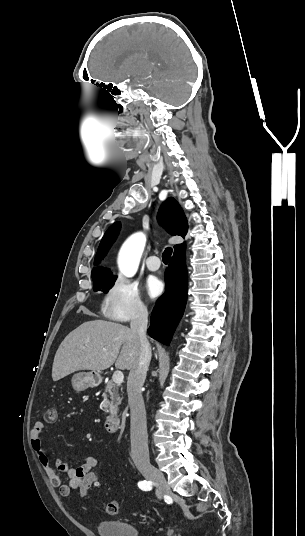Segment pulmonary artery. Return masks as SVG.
<instances>
[{
  "instance_id": "1",
  "label": "pulmonary artery",
  "mask_w": 305,
  "mask_h": 536,
  "mask_svg": "<svg viewBox=\"0 0 305 536\" xmlns=\"http://www.w3.org/2000/svg\"><path fill=\"white\" fill-rule=\"evenodd\" d=\"M160 261V256L156 253H153L150 255V257L146 261L147 268L150 271H157L160 268V264L158 263Z\"/></svg>"
}]
</instances>
